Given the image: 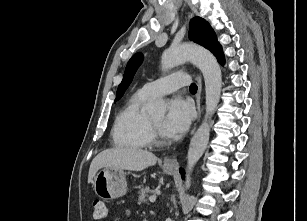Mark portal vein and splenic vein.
<instances>
[{
    "label": "portal vein and splenic vein",
    "instance_id": "obj_1",
    "mask_svg": "<svg viewBox=\"0 0 307 221\" xmlns=\"http://www.w3.org/2000/svg\"><path fill=\"white\" fill-rule=\"evenodd\" d=\"M149 201L150 202H155L156 201V197L155 196H150L149 197Z\"/></svg>",
    "mask_w": 307,
    "mask_h": 221
}]
</instances>
